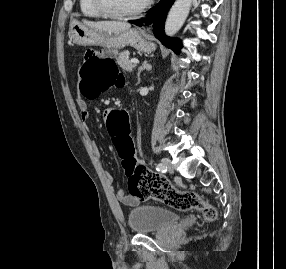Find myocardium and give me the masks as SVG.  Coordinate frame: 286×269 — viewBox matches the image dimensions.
<instances>
[{"instance_id": "obj_1", "label": "myocardium", "mask_w": 286, "mask_h": 269, "mask_svg": "<svg viewBox=\"0 0 286 269\" xmlns=\"http://www.w3.org/2000/svg\"><path fill=\"white\" fill-rule=\"evenodd\" d=\"M95 9L104 17L111 18V19H128L136 17L142 14L151 4V1H147L139 8L130 11V12H116L111 10L105 3L104 0H92Z\"/></svg>"}]
</instances>
